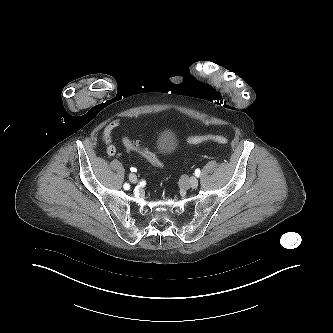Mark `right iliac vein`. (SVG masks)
<instances>
[{
    "mask_svg": "<svg viewBox=\"0 0 333 333\" xmlns=\"http://www.w3.org/2000/svg\"><path fill=\"white\" fill-rule=\"evenodd\" d=\"M129 180H130L132 183H137V181H138L137 176H136L134 173H130V175H129Z\"/></svg>",
    "mask_w": 333,
    "mask_h": 333,
    "instance_id": "right-iliac-vein-1",
    "label": "right iliac vein"
}]
</instances>
